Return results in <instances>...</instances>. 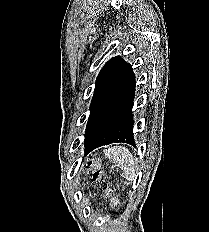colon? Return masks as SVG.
<instances>
[{
    "label": "colon",
    "instance_id": "1",
    "mask_svg": "<svg viewBox=\"0 0 209 232\" xmlns=\"http://www.w3.org/2000/svg\"><path fill=\"white\" fill-rule=\"evenodd\" d=\"M91 168H92V173H93V178L95 181L99 183V185L106 191L108 192L107 188V182L104 176H102L101 171L99 169V166L97 163L92 162L91 163Z\"/></svg>",
    "mask_w": 209,
    "mask_h": 232
}]
</instances>
